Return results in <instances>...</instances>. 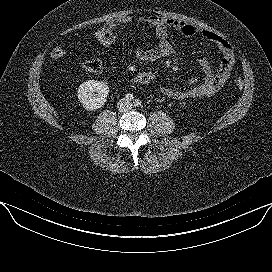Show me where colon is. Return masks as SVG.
<instances>
[{
	"label": "colon",
	"mask_w": 272,
	"mask_h": 272,
	"mask_svg": "<svg viewBox=\"0 0 272 272\" xmlns=\"http://www.w3.org/2000/svg\"><path fill=\"white\" fill-rule=\"evenodd\" d=\"M93 40L103 46V47H114L117 44V37L116 35L104 30L100 29L94 32ZM66 51L64 48L58 46L55 47L51 51V57L54 60L61 59L65 56ZM81 69L89 74H98L102 70V64L98 60H89L85 61L81 65ZM159 78V73L156 70H145L135 74L131 78V82L135 85H148L151 84ZM236 87L242 88L244 82L241 78H236L234 81Z\"/></svg>",
	"instance_id": "1"
}]
</instances>
